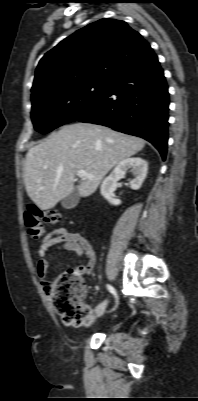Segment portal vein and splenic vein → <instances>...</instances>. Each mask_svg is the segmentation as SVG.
I'll use <instances>...</instances> for the list:
<instances>
[{
  "instance_id": "1",
  "label": "portal vein and splenic vein",
  "mask_w": 198,
  "mask_h": 401,
  "mask_svg": "<svg viewBox=\"0 0 198 401\" xmlns=\"http://www.w3.org/2000/svg\"><path fill=\"white\" fill-rule=\"evenodd\" d=\"M77 176H78L79 178H88V179H92V178H93L92 175L88 174V173H87L86 171H84V170H78V171H77Z\"/></svg>"
}]
</instances>
